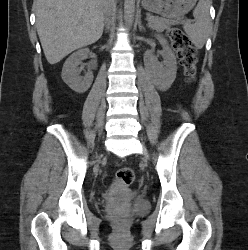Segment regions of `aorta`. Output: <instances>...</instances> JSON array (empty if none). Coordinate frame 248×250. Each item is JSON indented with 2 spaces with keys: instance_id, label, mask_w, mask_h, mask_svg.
Segmentation results:
<instances>
[{
  "instance_id": "762f6f07",
  "label": "aorta",
  "mask_w": 248,
  "mask_h": 250,
  "mask_svg": "<svg viewBox=\"0 0 248 250\" xmlns=\"http://www.w3.org/2000/svg\"><path fill=\"white\" fill-rule=\"evenodd\" d=\"M135 0H125L124 3V19L127 27H131L134 20Z\"/></svg>"
}]
</instances>
